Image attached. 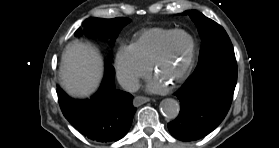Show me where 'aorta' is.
<instances>
[{"label":"aorta","mask_w":279,"mask_h":148,"mask_svg":"<svg viewBox=\"0 0 279 148\" xmlns=\"http://www.w3.org/2000/svg\"><path fill=\"white\" fill-rule=\"evenodd\" d=\"M160 110L165 117L174 119L179 114L180 106L175 99L166 98L161 101Z\"/></svg>","instance_id":"obj_1"}]
</instances>
